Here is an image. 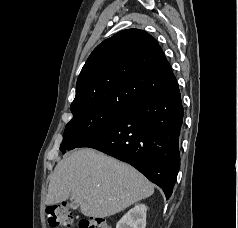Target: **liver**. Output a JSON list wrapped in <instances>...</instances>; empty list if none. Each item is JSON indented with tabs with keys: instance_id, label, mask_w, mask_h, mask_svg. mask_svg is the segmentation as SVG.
<instances>
[{
	"instance_id": "6515ba94",
	"label": "liver",
	"mask_w": 238,
	"mask_h": 228,
	"mask_svg": "<svg viewBox=\"0 0 238 228\" xmlns=\"http://www.w3.org/2000/svg\"><path fill=\"white\" fill-rule=\"evenodd\" d=\"M153 193V184L130 165L83 148L56 165L46 204L54 205L71 197L83 215L108 217Z\"/></svg>"
}]
</instances>
